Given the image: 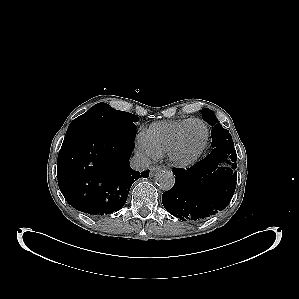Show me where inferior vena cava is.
I'll use <instances>...</instances> for the list:
<instances>
[{"instance_id": "1", "label": "inferior vena cava", "mask_w": 299, "mask_h": 299, "mask_svg": "<svg viewBox=\"0 0 299 299\" xmlns=\"http://www.w3.org/2000/svg\"><path fill=\"white\" fill-rule=\"evenodd\" d=\"M149 165H150V160L143 155L137 154L130 159V166L132 169L136 171H144L149 167Z\"/></svg>"}]
</instances>
